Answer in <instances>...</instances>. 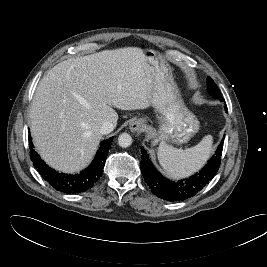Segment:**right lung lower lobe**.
<instances>
[{"label":"right lung lower lobe","instance_id":"right-lung-lower-lobe-1","mask_svg":"<svg viewBox=\"0 0 267 267\" xmlns=\"http://www.w3.org/2000/svg\"><path fill=\"white\" fill-rule=\"evenodd\" d=\"M112 140L113 138L103 141L90 166L80 172V174L75 175L58 173L48 165H46L33 149L34 146L31 143V138H29V142L31 143L30 156L39 174L53 188L60 192L68 194L80 193L91 188L94 183L102 176L107 153L109 151Z\"/></svg>","mask_w":267,"mask_h":267}]
</instances>
